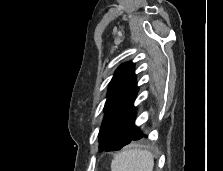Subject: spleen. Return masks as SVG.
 Returning a JSON list of instances; mask_svg holds the SVG:
<instances>
[{"label": "spleen", "instance_id": "obj_1", "mask_svg": "<svg viewBox=\"0 0 223 171\" xmlns=\"http://www.w3.org/2000/svg\"><path fill=\"white\" fill-rule=\"evenodd\" d=\"M154 159L147 150L130 149L116 154L111 171H153Z\"/></svg>", "mask_w": 223, "mask_h": 171}]
</instances>
